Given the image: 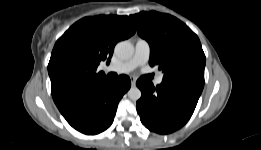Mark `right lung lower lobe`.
<instances>
[{"label": "right lung lower lobe", "instance_id": "obj_1", "mask_svg": "<svg viewBox=\"0 0 261 150\" xmlns=\"http://www.w3.org/2000/svg\"><path fill=\"white\" fill-rule=\"evenodd\" d=\"M131 86L130 78L109 79L90 90L78 93L57 105L67 122L79 132L94 135L113 122L118 103Z\"/></svg>", "mask_w": 261, "mask_h": 150}]
</instances>
